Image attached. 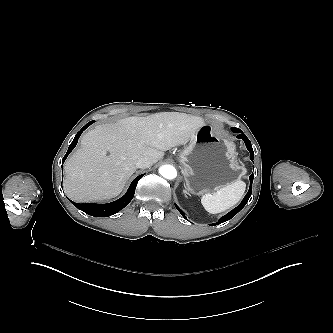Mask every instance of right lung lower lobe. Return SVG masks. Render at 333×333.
<instances>
[{"instance_id":"1","label":"right lung lower lobe","mask_w":333,"mask_h":333,"mask_svg":"<svg viewBox=\"0 0 333 333\" xmlns=\"http://www.w3.org/2000/svg\"><path fill=\"white\" fill-rule=\"evenodd\" d=\"M94 121H90L89 123H87L75 136L74 140L72 141V143L70 144L68 151L66 153V155L63 158V162L65 161V159L67 158L68 154L73 150V148L76 146L78 139L81 135V133L88 127L90 126ZM63 167V165H62ZM143 175H139L138 177H136L131 185L128 188V191L126 192V194L121 197L120 199L111 202V203H107V204H78L75 203L73 201H71V203L73 205H75L78 209L82 210L83 212H85L88 215L91 216H95V217H108L111 216L117 212H119L121 209H123L133 198L134 193H135V189H136V185L139 181L140 178H142Z\"/></svg>"}]
</instances>
